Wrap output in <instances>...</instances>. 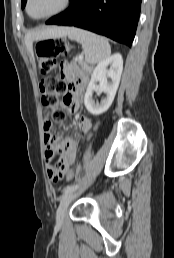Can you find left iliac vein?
I'll return each instance as SVG.
<instances>
[{"instance_id": "1", "label": "left iliac vein", "mask_w": 174, "mask_h": 258, "mask_svg": "<svg viewBox=\"0 0 174 258\" xmlns=\"http://www.w3.org/2000/svg\"><path fill=\"white\" fill-rule=\"evenodd\" d=\"M79 195V193L74 190L68 193H65L60 200L59 207L56 212V222L62 224L68 209L69 204Z\"/></svg>"}]
</instances>
